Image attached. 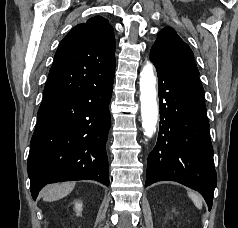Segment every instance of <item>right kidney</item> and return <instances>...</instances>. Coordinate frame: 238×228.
<instances>
[{"label": "right kidney", "mask_w": 238, "mask_h": 228, "mask_svg": "<svg viewBox=\"0 0 238 228\" xmlns=\"http://www.w3.org/2000/svg\"><path fill=\"white\" fill-rule=\"evenodd\" d=\"M74 208H75V211H76L77 215L79 216L81 211H82V202L81 201H75L74 202Z\"/></svg>", "instance_id": "right-kidney-1"}]
</instances>
